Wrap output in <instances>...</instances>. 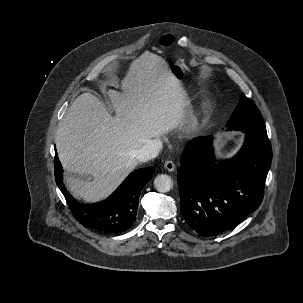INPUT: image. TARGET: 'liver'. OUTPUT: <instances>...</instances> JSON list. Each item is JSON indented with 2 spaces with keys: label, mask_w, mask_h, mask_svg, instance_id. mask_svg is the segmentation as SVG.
<instances>
[{
  "label": "liver",
  "mask_w": 303,
  "mask_h": 303,
  "mask_svg": "<svg viewBox=\"0 0 303 303\" xmlns=\"http://www.w3.org/2000/svg\"><path fill=\"white\" fill-rule=\"evenodd\" d=\"M121 84L123 92L107 91L115 117L95 95L83 93L57 129L63 167L93 178L65 177L72 194L86 202L109 196L138 165L134 152L179 127L188 105L180 80L148 51L132 61Z\"/></svg>",
  "instance_id": "1"
}]
</instances>
